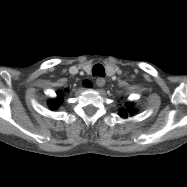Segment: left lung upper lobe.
Masks as SVG:
<instances>
[{
    "label": "left lung upper lobe",
    "mask_w": 187,
    "mask_h": 187,
    "mask_svg": "<svg viewBox=\"0 0 187 187\" xmlns=\"http://www.w3.org/2000/svg\"><path fill=\"white\" fill-rule=\"evenodd\" d=\"M128 112H130L131 114H133V113H134V110H132L131 107L128 106V107L126 108V110H125V109H122V110L120 111L119 115L125 118V117L128 116V114H127Z\"/></svg>",
    "instance_id": "obj_1"
}]
</instances>
